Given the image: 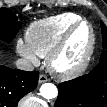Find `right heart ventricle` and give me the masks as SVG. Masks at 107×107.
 Instances as JSON below:
<instances>
[{"mask_svg":"<svg viewBox=\"0 0 107 107\" xmlns=\"http://www.w3.org/2000/svg\"><path fill=\"white\" fill-rule=\"evenodd\" d=\"M81 17L63 13L33 22L26 30V41L38 56L46 57L64 32Z\"/></svg>","mask_w":107,"mask_h":107,"instance_id":"right-heart-ventricle-1","label":"right heart ventricle"}]
</instances>
